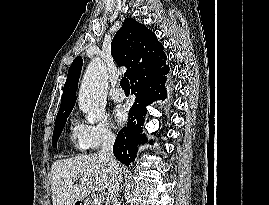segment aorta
Returning a JSON list of instances; mask_svg holds the SVG:
<instances>
[{"label":"aorta","instance_id":"1","mask_svg":"<svg viewBox=\"0 0 269 205\" xmlns=\"http://www.w3.org/2000/svg\"><path fill=\"white\" fill-rule=\"evenodd\" d=\"M107 77L104 63L93 59L84 74L79 91V108L91 124L99 122L105 115Z\"/></svg>","mask_w":269,"mask_h":205}]
</instances>
